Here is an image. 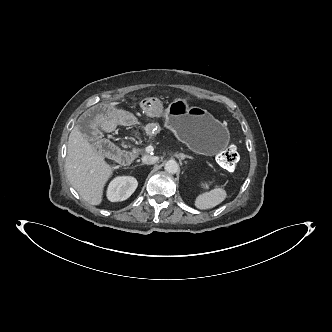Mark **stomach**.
Here are the masks:
<instances>
[{
  "label": "stomach",
  "instance_id": "1",
  "mask_svg": "<svg viewBox=\"0 0 332 332\" xmlns=\"http://www.w3.org/2000/svg\"><path fill=\"white\" fill-rule=\"evenodd\" d=\"M165 118L166 128L195 152L214 155L229 144L227 127L207 110L189 107L183 99L174 100L168 106Z\"/></svg>",
  "mask_w": 332,
  "mask_h": 332
}]
</instances>
